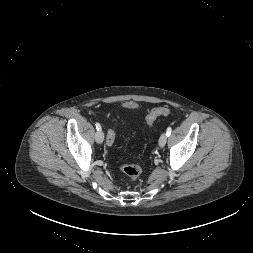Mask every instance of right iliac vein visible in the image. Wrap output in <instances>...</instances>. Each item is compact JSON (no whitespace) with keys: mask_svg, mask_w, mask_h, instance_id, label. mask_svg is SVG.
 Here are the masks:
<instances>
[{"mask_svg":"<svg viewBox=\"0 0 253 253\" xmlns=\"http://www.w3.org/2000/svg\"><path fill=\"white\" fill-rule=\"evenodd\" d=\"M95 140H96V142H97L98 144H102V142H103V140H104V134H103L102 130H101V131H98V132L96 133V135H95Z\"/></svg>","mask_w":253,"mask_h":253,"instance_id":"63e3f726","label":"right iliac vein"}]
</instances>
